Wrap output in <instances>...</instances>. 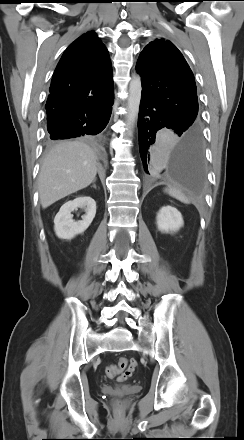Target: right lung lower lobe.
I'll return each instance as SVG.
<instances>
[{
    "mask_svg": "<svg viewBox=\"0 0 244 440\" xmlns=\"http://www.w3.org/2000/svg\"><path fill=\"white\" fill-rule=\"evenodd\" d=\"M113 99L114 96L110 97L101 107L91 111L47 116L50 139H68L99 134L109 122Z\"/></svg>",
    "mask_w": 244,
    "mask_h": 440,
    "instance_id": "1",
    "label": "right lung lower lobe"
}]
</instances>
